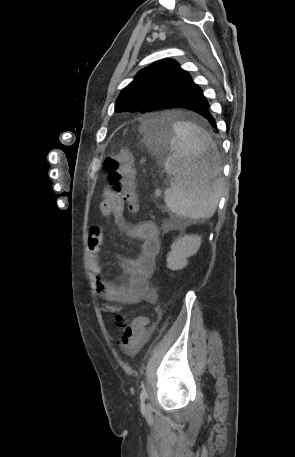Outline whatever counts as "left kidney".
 <instances>
[{"label": "left kidney", "mask_w": 295, "mask_h": 457, "mask_svg": "<svg viewBox=\"0 0 295 457\" xmlns=\"http://www.w3.org/2000/svg\"><path fill=\"white\" fill-rule=\"evenodd\" d=\"M200 245L201 237L198 235L180 236L171 245V251L167 255V267L171 270L186 267L187 259L198 251Z\"/></svg>", "instance_id": "1"}]
</instances>
